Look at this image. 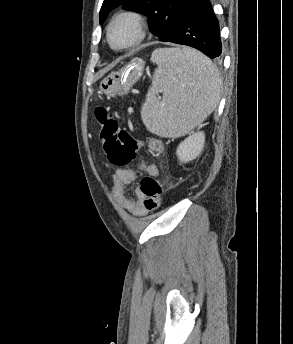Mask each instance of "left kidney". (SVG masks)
Here are the masks:
<instances>
[{
    "label": "left kidney",
    "instance_id": "1",
    "mask_svg": "<svg viewBox=\"0 0 293 344\" xmlns=\"http://www.w3.org/2000/svg\"><path fill=\"white\" fill-rule=\"evenodd\" d=\"M205 143L204 132L192 133L177 147L176 154L181 163H187L196 159L203 150Z\"/></svg>",
    "mask_w": 293,
    "mask_h": 344
}]
</instances>
